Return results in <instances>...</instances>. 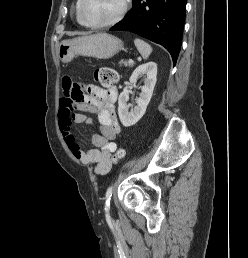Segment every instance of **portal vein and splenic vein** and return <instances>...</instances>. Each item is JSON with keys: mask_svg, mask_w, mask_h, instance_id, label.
<instances>
[{"mask_svg": "<svg viewBox=\"0 0 248 258\" xmlns=\"http://www.w3.org/2000/svg\"><path fill=\"white\" fill-rule=\"evenodd\" d=\"M129 62H131V63H132V62H133V60H132V59H129Z\"/></svg>", "mask_w": 248, "mask_h": 258, "instance_id": "18ae733b", "label": "portal vein and splenic vein"}]
</instances>
